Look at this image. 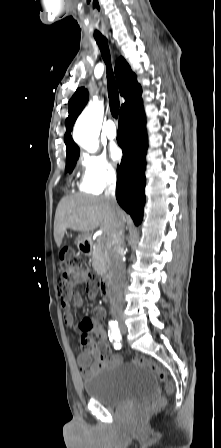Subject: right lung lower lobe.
Wrapping results in <instances>:
<instances>
[{
    "label": "right lung lower lobe",
    "mask_w": 221,
    "mask_h": 448,
    "mask_svg": "<svg viewBox=\"0 0 221 448\" xmlns=\"http://www.w3.org/2000/svg\"><path fill=\"white\" fill-rule=\"evenodd\" d=\"M145 123L142 99L120 111L117 140L122 148L123 158L117 167L116 198L136 225L142 221L145 204Z\"/></svg>",
    "instance_id": "98d812e1"
}]
</instances>
